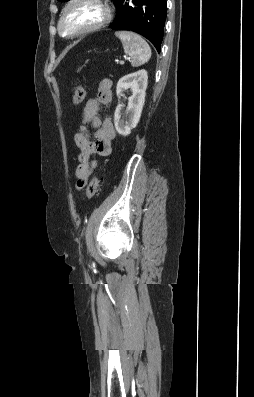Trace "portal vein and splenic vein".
Listing matches in <instances>:
<instances>
[{
    "label": "portal vein and splenic vein",
    "mask_w": 254,
    "mask_h": 397,
    "mask_svg": "<svg viewBox=\"0 0 254 397\" xmlns=\"http://www.w3.org/2000/svg\"><path fill=\"white\" fill-rule=\"evenodd\" d=\"M120 64H124V61H119Z\"/></svg>",
    "instance_id": "obj_1"
}]
</instances>
